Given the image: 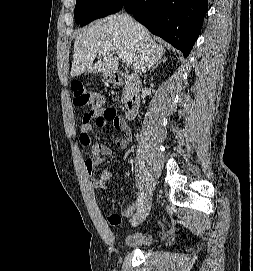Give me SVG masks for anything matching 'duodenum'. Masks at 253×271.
Segmentation results:
<instances>
[{"label":"duodenum","instance_id":"410a0bca","mask_svg":"<svg viewBox=\"0 0 253 271\" xmlns=\"http://www.w3.org/2000/svg\"><path fill=\"white\" fill-rule=\"evenodd\" d=\"M115 85L125 87L124 113L127 119H132L140 107L141 82L132 75L116 71L112 74Z\"/></svg>","mask_w":253,"mask_h":271}]
</instances>
